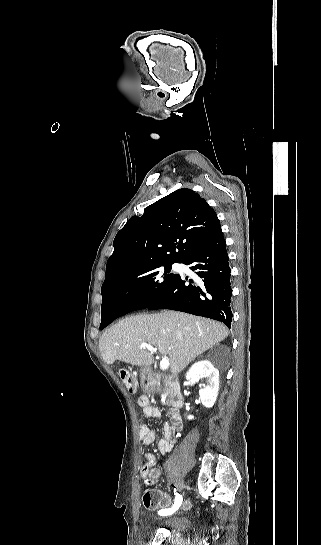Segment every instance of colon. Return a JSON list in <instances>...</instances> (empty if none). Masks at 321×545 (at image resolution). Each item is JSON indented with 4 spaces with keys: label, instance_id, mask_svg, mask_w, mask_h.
Wrapping results in <instances>:
<instances>
[{
    "label": "colon",
    "instance_id": "5ec220e1",
    "mask_svg": "<svg viewBox=\"0 0 321 545\" xmlns=\"http://www.w3.org/2000/svg\"><path fill=\"white\" fill-rule=\"evenodd\" d=\"M118 373L127 389L130 392H134L136 390V381L132 373L126 368H120ZM142 500L144 506L148 509L167 510L172 505L171 498L157 490L146 491L143 494ZM181 508L188 509L189 503L184 502Z\"/></svg>",
    "mask_w": 321,
    "mask_h": 545
}]
</instances>
